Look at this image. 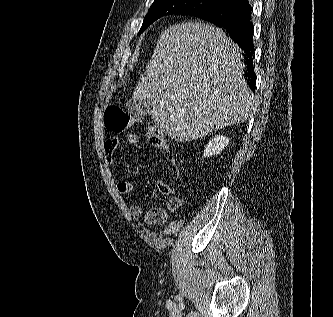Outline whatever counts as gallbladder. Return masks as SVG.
Wrapping results in <instances>:
<instances>
[{
	"label": "gallbladder",
	"instance_id": "bac80fb5",
	"mask_svg": "<svg viewBox=\"0 0 333 317\" xmlns=\"http://www.w3.org/2000/svg\"><path fill=\"white\" fill-rule=\"evenodd\" d=\"M127 110L133 116L143 117L151 113V105L145 101L129 100Z\"/></svg>",
	"mask_w": 333,
	"mask_h": 317
}]
</instances>
